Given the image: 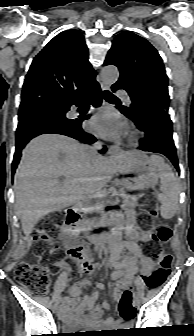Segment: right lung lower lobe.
<instances>
[{
  "instance_id": "obj_1",
  "label": "right lung lower lobe",
  "mask_w": 194,
  "mask_h": 336,
  "mask_svg": "<svg viewBox=\"0 0 194 336\" xmlns=\"http://www.w3.org/2000/svg\"><path fill=\"white\" fill-rule=\"evenodd\" d=\"M91 100L93 106H100L102 103L101 90L98 82L95 80L91 82L82 92L71 98L64 105L59 107V110L66 114L70 110L71 105H80L86 100ZM89 116L79 119H63L55 117H40L30 120H23L18 123L16 132V149L14 159L12 163V176L16 170V167L22 156V149L25 145L34 137L46 134L57 133L72 137L83 143L92 144L96 142V138L93 135L86 133L81 123L84 119H88ZM104 146L101 152H105Z\"/></svg>"
}]
</instances>
